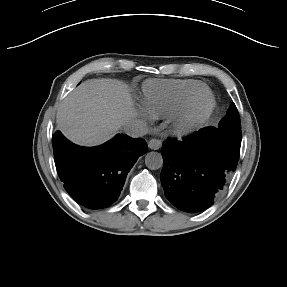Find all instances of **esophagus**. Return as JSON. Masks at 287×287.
Wrapping results in <instances>:
<instances>
[{
  "label": "esophagus",
  "mask_w": 287,
  "mask_h": 287,
  "mask_svg": "<svg viewBox=\"0 0 287 287\" xmlns=\"http://www.w3.org/2000/svg\"><path fill=\"white\" fill-rule=\"evenodd\" d=\"M148 146L152 150H158L161 147V141L157 138H152L149 140Z\"/></svg>",
  "instance_id": "obj_1"
}]
</instances>
